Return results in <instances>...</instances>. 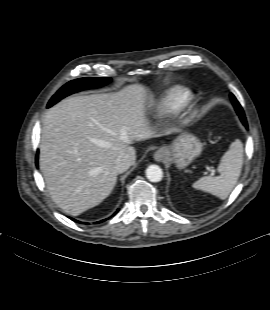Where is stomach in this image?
Masks as SVG:
<instances>
[{
    "instance_id": "stomach-1",
    "label": "stomach",
    "mask_w": 270,
    "mask_h": 310,
    "mask_svg": "<svg viewBox=\"0 0 270 310\" xmlns=\"http://www.w3.org/2000/svg\"><path fill=\"white\" fill-rule=\"evenodd\" d=\"M203 144L192 134H180L166 149L178 168H185L202 152Z\"/></svg>"
}]
</instances>
